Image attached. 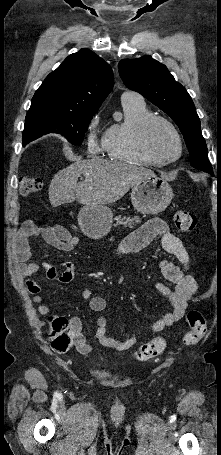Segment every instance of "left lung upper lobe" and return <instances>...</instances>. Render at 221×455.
Instances as JSON below:
<instances>
[{
  "label": "left lung upper lobe",
  "instance_id": "obj_1",
  "mask_svg": "<svg viewBox=\"0 0 221 455\" xmlns=\"http://www.w3.org/2000/svg\"><path fill=\"white\" fill-rule=\"evenodd\" d=\"M118 67L119 74L129 89L143 95L178 125L190 153V164L210 172L212 167L207 157V145L194 103L167 67L149 55L138 59H123Z\"/></svg>",
  "mask_w": 221,
  "mask_h": 455
}]
</instances>
